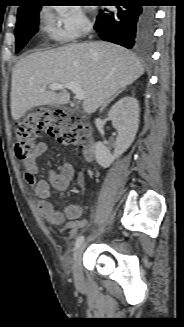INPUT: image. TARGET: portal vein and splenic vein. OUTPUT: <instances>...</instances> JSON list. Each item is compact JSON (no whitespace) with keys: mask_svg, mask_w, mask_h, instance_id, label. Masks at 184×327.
<instances>
[{"mask_svg":"<svg viewBox=\"0 0 184 327\" xmlns=\"http://www.w3.org/2000/svg\"><path fill=\"white\" fill-rule=\"evenodd\" d=\"M47 88L50 90H61V89H69L75 94V98L79 101L84 99V91L83 89L76 83H52L48 85V87L44 86L40 88V91H45Z\"/></svg>","mask_w":184,"mask_h":327,"instance_id":"18ae733b","label":"portal vein and splenic vein"}]
</instances>
